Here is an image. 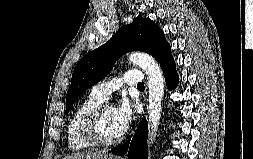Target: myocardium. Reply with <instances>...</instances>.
Masks as SVG:
<instances>
[{
    "label": "myocardium",
    "mask_w": 253,
    "mask_h": 159,
    "mask_svg": "<svg viewBox=\"0 0 253 159\" xmlns=\"http://www.w3.org/2000/svg\"><path fill=\"white\" fill-rule=\"evenodd\" d=\"M107 108H113L109 102H102L98 104L86 117L82 127V137L85 142L92 147H110L119 144L125 136L123 132L120 136L112 139L105 140L101 137L99 131V122L102 113Z\"/></svg>",
    "instance_id": "myocardium-1"
}]
</instances>
